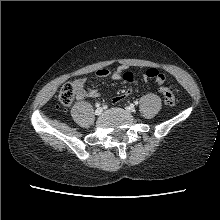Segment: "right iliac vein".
I'll list each match as a JSON object with an SVG mask.
<instances>
[{
  "label": "right iliac vein",
  "instance_id": "1",
  "mask_svg": "<svg viewBox=\"0 0 220 220\" xmlns=\"http://www.w3.org/2000/svg\"><path fill=\"white\" fill-rule=\"evenodd\" d=\"M102 112H103L102 108H97V109L95 110V114H96V115H101Z\"/></svg>",
  "mask_w": 220,
  "mask_h": 220
}]
</instances>
